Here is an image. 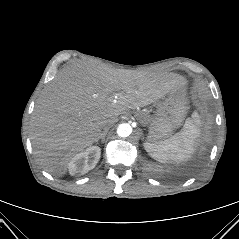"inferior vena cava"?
Instances as JSON below:
<instances>
[{
  "label": "inferior vena cava",
  "instance_id": "inferior-vena-cava-1",
  "mask_svg": "<svg viewBox=\"0 0 239 239\" xmlns=\"http://www.w3.org/2000/svg\"><path fill=\"white\" fill-rule=\"evenodd\" d=\"M114 123H115V120L104 121L102 123V129L107 131L108 129H110L113 126Z\"/></svg>",
  "mask_w": 239,
  "mask_h": 239
}]
</instances>
